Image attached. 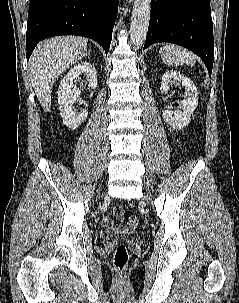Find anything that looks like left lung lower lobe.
<instances>
[{"mask_svg":"<svg viewBox=\"0 0 239 303\" xmlns=\"http://www.w3.org/2000/svg\"><path fill=\"white\" fill-rule=\"evenodd\" d=\"M157 42L191 50L202 59L211 76L214 40L210 0H152L143 50Z\"/></svg>","mask_w":239,"mask_h":303,"instance_id":"0a47b994","label":"left lung lower lobe"}]
</instances>
